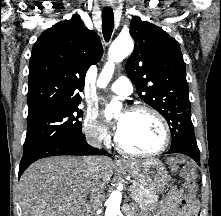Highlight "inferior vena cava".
<instances>
[{
    "instance_id": "obj_1",
    "label": "inferior vena cava",
    "mask_w": 221,
    "mask_h": 216,
    "mask_svg": "<svg viewBox=\"0 0 221 216\" xmlns=\"http://www.w3.org/2000/svg\"><path fill=\"white\" fill-rule=\"evenodd\" d=\"M89 143L94 147H101V139L97 136H91L88 139ZM87 167L92 176L90 203L86 207V216H96L100 206V197L103 191L99 183V166L96 158H88Z\"/></svg>"
}]
</instances>
